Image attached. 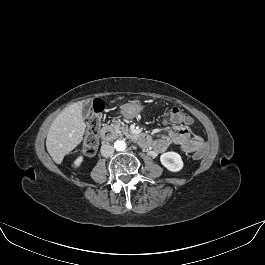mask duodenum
<instances>
[{"mask_svg":"<svg viewBox=\"0 0 265 265\" xmlns=\"http://www.w3.org/2000/svg\"><path fill=\"white\" fill-rule=\"evenodd\" d=\"M114 135H115L114 130L109 127H103L100 131V136L102 140L104 141L110 140ZM132 139H134L135 141H137L140 145L144 147H148L151 144V138L146 133L134 134L132 135Z\"/></svg>","mask_w":265,"mask_h":265,"instance_id":"duodenum-1","label":"duodenum"}]
</instances>
